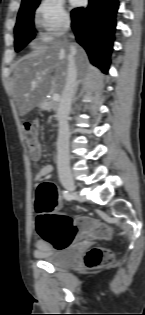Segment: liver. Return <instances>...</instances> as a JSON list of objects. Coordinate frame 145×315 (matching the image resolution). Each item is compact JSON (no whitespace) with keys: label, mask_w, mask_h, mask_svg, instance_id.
Masks as SVG:
<instances>
[{"label":"liver","mask_w":145,"mask_h":315,"mask_svg":"<svg viewBox=\"0 0 145 315\" xmlns=\"http://www.w3.org/2000/svg\"><path fill=\"white\" fill-rule=\"evenodd\" d=\"M31 52L15 65L12 96L20 116L39 106L49 94L62 93L72 53L80 73L90 70L85 51L66 38H42L30 43Z\"/></svg>","instance_id":"1"}]
</instances>
